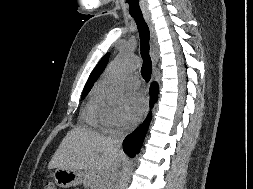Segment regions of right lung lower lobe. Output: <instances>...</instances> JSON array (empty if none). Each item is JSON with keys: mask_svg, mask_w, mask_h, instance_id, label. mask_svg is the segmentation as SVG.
<instances>
[{"mask_svg": "<svg viewBox=\"0 0 253 189\" xmlns=\"http://www.w3.org/2000/svg\"><path fill=\"white\" fill-rule=\"evenodd\" d=\"M158 94V84L153 82L150 88V105L152 106L157 100ZM151 120V115H149L144 123L136 129L132 134L127 136L123 141V149L127 155L130 157H135L139 152L143 139L148 129L149 122Z\"/></svg>", "mask_w": 253, "mask_h": 189, "instance_id": "obj_1", "label": "right lung lower lobe"}]
</instances>
